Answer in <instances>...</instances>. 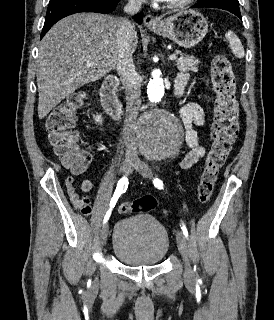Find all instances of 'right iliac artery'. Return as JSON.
Here are the masks:
<instances>
[{
    "instance_id": "obj_1",
    "label": "right iliac artery",
    "mask_w": 274,
    "mask_h": 320,
    "mask_svg": "<svg viewBox=\"0 0 274 320\" xmlns=\"http://www.w3.org/2000/svg\"><path fill=\"white\" fill-rule=\"evenodd\" d=\"M127 188H128V180H127L126 177H122V178L119 180L118 184H117V187H116V190H115V192H114V195H113V197H112V199H111V201H110V208H109V210L106 212V215H105V217H104L103 223H106V222L109 220L110 215H111V212H112V209L114 208V206H115L118 198L120 197V195H121L123 192H125V191L127 190Z\"/></svg>"
}]
</instances>
